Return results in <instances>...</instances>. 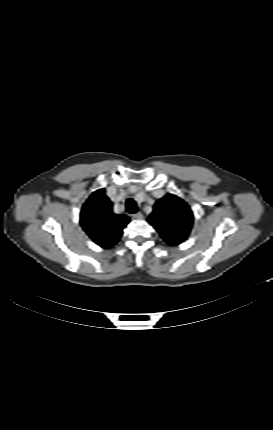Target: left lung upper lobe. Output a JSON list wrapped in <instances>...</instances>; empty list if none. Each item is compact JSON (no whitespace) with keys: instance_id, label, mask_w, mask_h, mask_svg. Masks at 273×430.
<instances>
[{"instance_id":"left-lung-upper-lobe-1","label":"left lung upper lobe","mask_w":273,"mask_h":430,"mask_svg":"<svg viewBox=\"0 0 273 430\" xmlns=\"http://www.w3.org/2000/svg\"><path fill=\"white\" fill-rule=\"evenodd\" d=\"M148 222L170 245L183 242L192 226L193 214L190 207L179 197L168 194L159 199L148 218Z\"/></svg>"}]
</instances>
